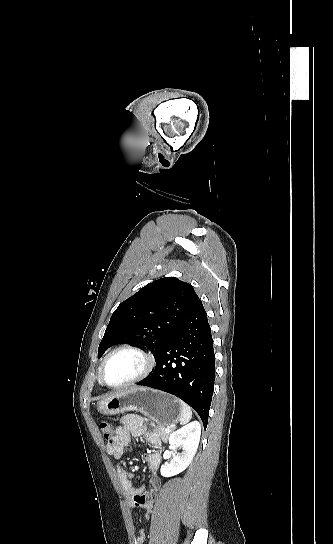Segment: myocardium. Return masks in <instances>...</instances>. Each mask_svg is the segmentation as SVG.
Here are the masks:
<instances>
[{
  "label": "myocardium",
  "mask_w": 333,
  "mask_h": 544,
  "mask_svg": "<svg viewBox=\"0 0 333 544\" xmlns=\"http://www.w3.org/2000/svg\"><path fill=\"white\" fill-rule=\"evenodd\" d=\"M122 351H128V352H133L138 354L143 360V367H142V370L136 376L129 379L128 381L123 382L121 384H117V385H111L105 380L104 370L109 359L113 355ZM155 365H156V361L153 355L147 352L146 350H144L143 348L136 345H130V344L120 345L116 347L115 349H113L112 351H110L103 359L99 368V380L104 386L112 388V389L125 388L128 386L134 385L144 380L145 378H147L150 375V373L153 371Z\"/></svg>",
  "instance_id": "obj_1"
}]
</instances>
